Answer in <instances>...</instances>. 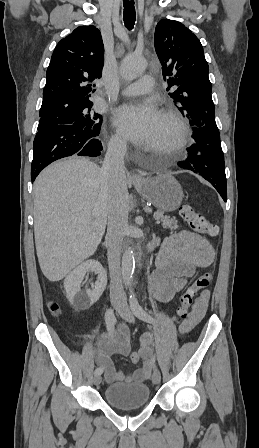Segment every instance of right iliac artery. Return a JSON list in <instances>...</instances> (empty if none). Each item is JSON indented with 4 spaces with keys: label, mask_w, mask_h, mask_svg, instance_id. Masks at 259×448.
I'll list each match as a JSON object with an SVG mask.
<instances>
[{
    "label": "right iliac artery",
    "mask_w": 259,
    "mask_h": 448,
    "mask_svg": "<svg viewBox=\"0 0 259 448\" xmlns=\"http://www.w3.org/2000/svg\"><path fill=\"white\" fill-rule=\"evenodd\" d=\"M105 321H106V326H107V330H108L109 334H113L114 326H115V323H116V318H115L114 311H113L112 308H109L106 311ZM103 370L104 369L102 367H98V368H96L94 373H95V375L96 374L97 375H101L103 373Z\"/></svg>",
    "instance_id": "82829eb1"
}]
</instances>
